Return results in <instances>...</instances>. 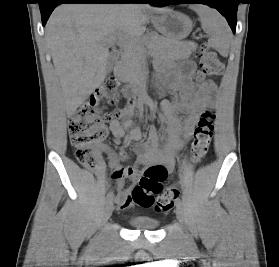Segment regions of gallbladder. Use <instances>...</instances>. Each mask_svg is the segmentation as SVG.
I'll use <instances>...</instances> for the list:
<instances>
[{
    "instance_id": "gallbladder-1",
    "label": "gallbladder",
    "mask_w": 279,
    "mask_h": 267,
    "mask_svg": "<svg viewBox=\"0 0 279 267\" xmlns=\"http://www.w3.org/2000/svg\"><path fill=\"white\" fill-rule=\"evenodd\" d=\"M114 59L113 57H109L106 64V73H110L113 69Z\"/></svg>"
}]
</instances>
